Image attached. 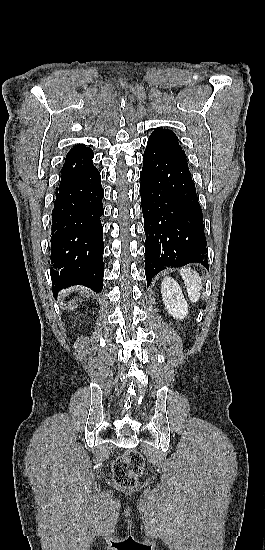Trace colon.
I'll return each mask as SVG.
<instances>
[{
	"instance_id": "colon-1",
	"label": "colon",
	"mask_w": 265,
	"mask_h": 550,
	"mask_svg": "<svg viewBox=\"0 0 265 550\" xmlns=\"http://www.w3.org/2000/svg\"><path fill=\"white\" fill-rule=\"evenodd\" d=\"M144 465V458L138 451H126L112 465L115 483L121 487H133L143 474Z\"/></svg>"
}]
</instances>
